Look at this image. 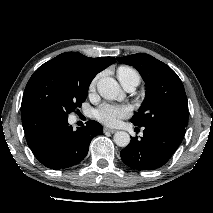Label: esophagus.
Wrapping results in <instances>:
<instances>
[{
    "instance_id": "34e87169",
    "label": "esophagus",
    "mask_w": 213,
    "mask_h": 213,
    "mask_svg": "<svg viewBox=\"0 0 213 213\" xmlns=\"http://www.w3.org/2000/svg\"><path fill=\"white\" fill-rule=\"evenodd\" d=\"M117 130L111 129V128H104V132H110V133H115Z\"/></svg>"
}]
</instances>
